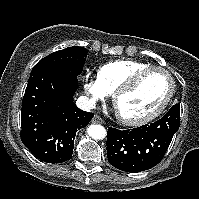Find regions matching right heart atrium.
<instances>
[{"mask_svg":"<svg viewBox=\"0 0 199 199\" xmlns=\"http://www.w3.org/2000/svg\"><path fill=\"white\" fill-rule=\"evenodd\" d=\"M83 89L92 105L108 96V92L97 78L88 79L83 84Z\"/></svg>","mask_w":199,"mask_h":199,"instance_id":"right-heart-atrium-1","label":"right heart atrium"}]
</instances>
